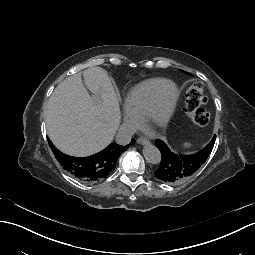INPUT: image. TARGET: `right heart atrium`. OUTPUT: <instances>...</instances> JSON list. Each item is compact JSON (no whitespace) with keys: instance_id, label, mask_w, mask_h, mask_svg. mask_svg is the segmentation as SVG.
<instances>
[{"instance_id":"right-heart-atrium-1","label":"right heart atrium","mask_w":255,"mask_h":255,"mask_svg":"<svg viewBox=\"0 0 255 255\" xmlns=\"http://www.w3.org/2000/svg\"><path fill=\"white\" fill-rule=\"evenodd\" d=\"M123 122H124V125H125L128 129L134 128V123H133L132 119H131L128 115H124V117H123Z\"/></svg>"}]
</instances>
